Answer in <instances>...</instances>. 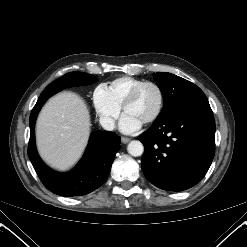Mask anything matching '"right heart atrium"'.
<instances>
[{
  "instance_id": "obj_1",
  "label": "right heart atrium",
  "mask_w": 247,
  "mask_h": 247,
  "mask_svg": "<svg viewBox=\"0 0 247 247\" xmlns=\"http://www.w3.org/2000/svg\"><path fill=\"white\" fill-rule=\"evenodd\" d=\"M93 104L103 126L107 129H113L121 107L114 102L104 85H100L95 89Z\"/></svg>"
}]
</instances>
